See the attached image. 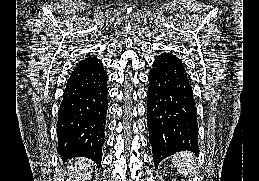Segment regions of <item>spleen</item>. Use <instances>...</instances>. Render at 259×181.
<instances>
[{
  "label": "spleen",
  "mask_w": 259,
  "mask_h": 181,
  "mask_svg": "<svg viewBox=\"0 0 259 181\" xmlns=\"http://www.w3.org/2000/svg\"><path fill=\"white\" fill-rule=\"evenodd\" d=\"M172 162L182 175L195 171L196 159L191 152L184 151L174 155Z\"/></svg>",
  "instance_id": "3e777b00"
}]
</instances>
